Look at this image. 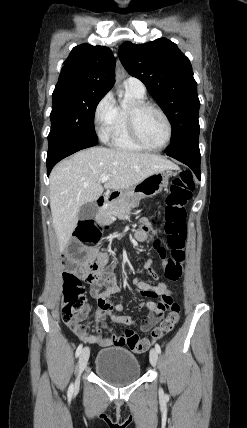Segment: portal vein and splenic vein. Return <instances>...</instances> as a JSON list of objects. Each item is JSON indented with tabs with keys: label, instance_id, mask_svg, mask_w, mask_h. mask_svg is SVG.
Instances as JSON below:
<instances>
[{
	"label": "portal vein and splenic vein",
	"instance_id": "18ae733b",
	"mask_svg": "<svg viewBox=\"0 0 247 428\" xmlns=\"http://www.w3.org/2000/svg\"><path fill=\"white\" fill-rule=\"evenodd\" d=\"M109 179V175H105L101 178V182L104 183Z\"/></svg>",
	"mask_w": 247,
	"mask_h": 428
}]
</instances>
